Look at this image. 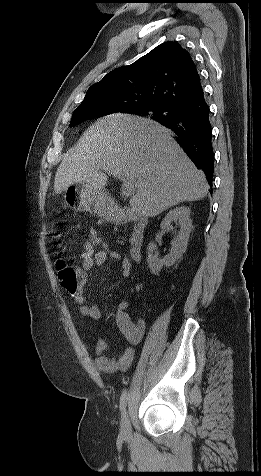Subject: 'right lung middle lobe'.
Here are the masks:
<instances>
[{
    "label": "right lung middle lobe",
    "mask_w": 261,
    "mask_h": 476,
    "mask_svg": "<svg viewBox=\"0 0 261 476\" xmlns=\"http://www.w3.org/2000/svg\"><path fill=\"white\" fill-rule=\"evenodd\" d=\"M176 111L177 109L164 106V105H149V106H143L129 113L149 117L156 121H161L167 117L174 115ZM117 112H128V111H126V109L121 105H109V104H102V103H93V104L83 105L75 109L72 116V120L70 122V126L76 125L92 117H98V116L117 113Z\"/></svg>",
    "instance_id": "dd1d6c3e"
}]
</instances>
